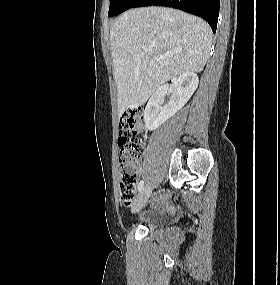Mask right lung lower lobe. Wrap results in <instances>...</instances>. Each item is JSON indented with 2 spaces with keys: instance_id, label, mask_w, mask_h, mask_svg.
<instances>
[{
  "instance_id": "98d812e1",
  "label": "right lung lower lobe",
  "mask_w": 280,
  "mask_h": 285,
  "mask_svg": "<svg viewBox=\"0 0 280 285\" xmlns=\"http://www.w3.org/2000/svg\"><path fill=\"white\" fill-rule=\"evenodd\" d=\"M151 5L173 7L200 16L216 32L220 0H138L133 7Z\"/></svg>"
}]
</instances>
